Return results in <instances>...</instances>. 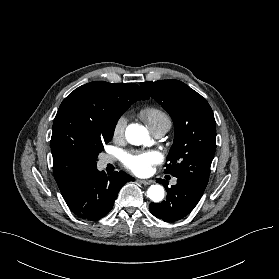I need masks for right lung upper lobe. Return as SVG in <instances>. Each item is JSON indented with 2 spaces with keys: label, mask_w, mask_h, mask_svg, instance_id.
<instances>
[{
  "label": "right lung upper lobe",
  "mask_w": 279,
  "mask_h": 279,
  "mask_svg": "<svg viewBox=\"0 0 279 279\" xmlns=\"http://www.w3.org/2000/svg\"><path fill=\"white\" fill-rule=\"evenodd\" d=\"M141 99L149 96L134 83L94 81L78 87L63 100L51 137L54 177L63 197L90 166L88 150L92 140L114 125L113 106L131 105Z\"/></svg>",
  "instance_id": "cb5924a9"
}]
</instances>
